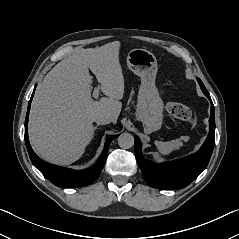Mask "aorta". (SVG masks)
I'll list each match as a JSON object with an SVG mask.
<instances>
[{"mask_svg":"<svg viewBox=\"0 0 239 239\" xmlns=\"http://www.w3.org/2000/svg\"><path fill=\"white\" fill-rule=\"evenodd\" d=\"M118 145L123 149H129L134 145V137L130 133H122L118 137Z\"/></svg>","mask_w":239,"mask_h":239,"instance_id":"1","label":"aorta"}]
</instances>
